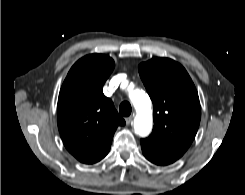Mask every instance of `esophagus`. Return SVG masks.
<instances>
[{"instance_id":"obj_1","label":"esophagus","mask_w":245,"mask_h":195,"mask_svg":"<svg viewBox=\"0 0 245 195\" xmlns=\"http://www.w3.org/2000/svg\"><path fill=\"white\" fill-rule=\"evenodd\" d=\"M125 121H126V124H127V125L131 124L132 121H133V116L127 117V118L125 119Z\"/></svg>"}]
</instances>
